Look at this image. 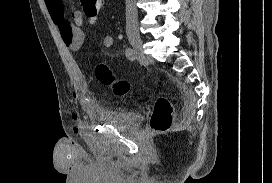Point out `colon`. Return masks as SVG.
Wrapping results in <instances>:
<instances>
[{"label": "colon", "mask_w": 272, "mask_h": 183, "mask_svg": "<svg viewBox=\"0 0 272 183\" xmlns=\"http://www.w3.org/2000/svg\"><path fill=\"white\" fill-rule=\"evenodd\" d=\"M83 13L90 19L94 18L103 5V0H80ZM97 79L110 87L116 95H124L130 85L125 80H117L108 66L100 64L95 69ZM173 120V107L166 98H158L154 104L150 118V127L156 133L170 129Z\"/></svg>", "instance_id": "obj_1"}]
</instances>
